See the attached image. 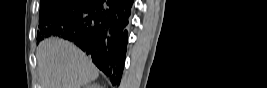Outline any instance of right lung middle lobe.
Here are the masks:
<instances>
[{
  "instance_id": "dd1d6c3e",
  "label": "right lung middle lobe",
  "mask_w": 267,
  "mask_h": 88,
  "mask_svg": "<svg viewBox=\"0 0 267 88\" xmlns=\"http://www.w3.org/2000/svg\"><path fill=\"white\" fill-rule=\"evenodd\" d=\"M81 0H41L39 28L42 30L38 34L37 40L44 38V27L53 20L69 13L80 3Z\"/></svg>"
}]
</instances>
